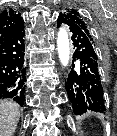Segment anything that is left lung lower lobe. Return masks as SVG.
<instances>
[{"mask_svg": "<svg viewBox=\"0 0 117 136\" xmlns=\"http://www.w3.org/2000/svg\"><path fill=\"white\" fill-rule=\"evenodd\" d=\"M57 22L58 27L62 25L69 29L75 49L67 82H65L74 113L81 115L89 110L105 112L95 43L84 31L70 26L64 14L59 15ZM74 62L76 63L74 64Z\"/></svg>", "mask_w": 117, "mask_h": 136, "instance_id": "obj_1", "label": "left lung lower lobe"}]
</instances>
